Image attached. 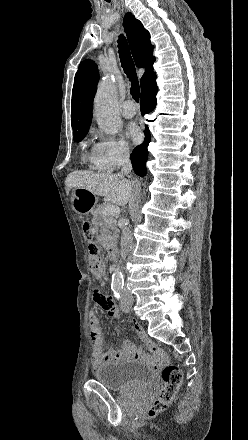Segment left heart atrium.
Masks as SVG:
<instances>
[{"label":"left heart atrium","mask_w":248,"mask_h":440,"mask_svg":"<svg viewBox=\"0 0 248 440\" xmlns=\"http://www.w3.org/2000/svg\"><path fill=\"white\" fill-rule=\"evenodd\" d=\"M126 133L134 144L139 143L142 139L141 130L136 123L129 124Z\"/></svg>","instance_id":"obj_1"}]
</instances>
